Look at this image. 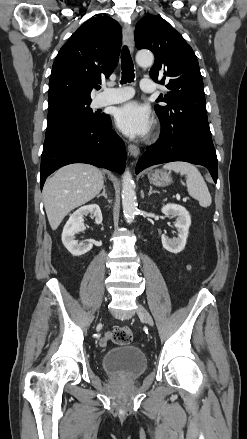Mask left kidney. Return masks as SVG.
<instances>
[{
  "label": "left kidney",
  "mask_w": 247,
  "mask_h": 439,
  "mask_svg": "<svg viewBox=\"0 0 247 439\" xmlns=\"http://www.w3.org/2000/svg\"><path fill=\"white\" fill-rule=\"evenodd\" d=\"M162 213L168 217H176L174 226L177 228L178 237L170 239L166 235H162L163 247L174 254L181 252L186 245L189 228L191 226V217L189 212L181 205L167 204L162 207Z\"/></svg>",
  "instance_id": "left-kidney-1"
}]
</instances>
